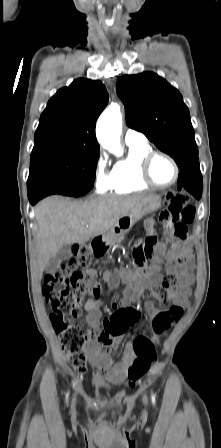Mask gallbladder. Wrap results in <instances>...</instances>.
I'll list each match as a JSON object with an SVG mask.
<instances>
[{
  "instance_id": "gallbladder-1",
  "label": "gallbladder",
  "mask_w": 221,
  "mask_h": 448,
  "mask_svg": "<svg viewBox=\"0 0 221 448\" xmlns=\"http://www.w3.org/2000/svg\"><path fill=\"white\" fill-rule=\"evenodd\" d=\"M71 256V244H65L61 247L58 253L48 264L49 270H54L62 261L68 259Z\"/></svg>"
}]
</instances>
